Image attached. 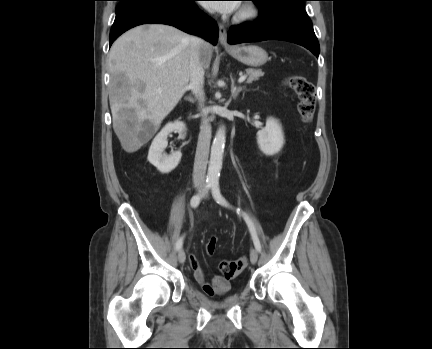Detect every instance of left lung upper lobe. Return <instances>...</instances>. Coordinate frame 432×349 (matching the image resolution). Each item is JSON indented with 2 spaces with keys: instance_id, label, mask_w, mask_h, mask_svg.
<instances>
[{
  "instance_id": "left-lung-upper-lobe-1",
  "label": "left lung upper lobe",
  "mask_w": 432,
  "mask_h": 349,
  "mask_svg": "<svg viewBox=\"0 0 432 349\" xmlns=\"http://www.w3.org/2000/svg\"><path fill=\"white\" fill-rule=\"evenodd\" d=\"M251 1H254L258 6H263L266 3L271 1H280L283 3H289L304 8V1L306 0H251Z\"/></svg>"
}]
</instances>
